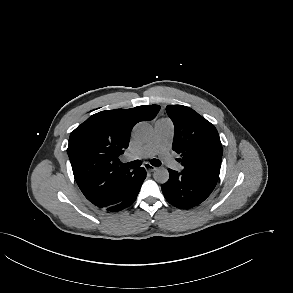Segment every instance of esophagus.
<instances>
[{
    "label": "esophagus",
    "instance_id": "esophagus-1",
    "mask_svg": "<svg viewBox=\"0 0 293 293\" xmlns=\"http://www.w3.org/2000/svg\"><path fill=\"white\" fill-rule=\"evenodd\" d=\"M144 168H145V170H146L147 172H153V171H155V170L157 169L156 167L152 166V165L149 164V163H146V164L144 165Z\"/></svg>",
    "mask_w": 293,
    "mask_h": 293
}]
</instances>
